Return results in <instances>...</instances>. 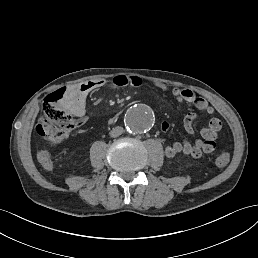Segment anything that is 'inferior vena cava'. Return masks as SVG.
Wrapping results in <instances>:
<instances>
[{"instance_id":"1","label":"inferior vena cava","mask_w":258,"mask_h":258,"mask_svg":"<svg viewBox=\"0 0 258 258\" xmlns=\"http://www.w3.org/2000/svg\"><path fill=\"white\" fill-rule=\"evenodd\" d=\"M123 128L120 127V126H117L115 128H113L111 131H110V136L115 138V137H118L120 136L122 133H123Z\"/></svg>"}]
</instances>
